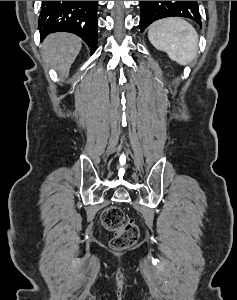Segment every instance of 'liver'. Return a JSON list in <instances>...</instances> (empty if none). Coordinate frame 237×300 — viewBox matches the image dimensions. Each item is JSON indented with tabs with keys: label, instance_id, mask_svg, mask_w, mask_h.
Here are the masks:
<instances>
[{
	"label": "liver",
	"instance_id": "6515ba94",
	"mask_svg": "<svg viewBox=\"0 0 237 300\" xmlns=\"http://www.w3.org/2000/svg\"><path fill=\"white\" fill-rule=\"evenodd\" d=\"M79 37L71 33H53L44 39L41 55L47 67L58 71L61 79H67L72 63L81 51Z\"/></svg>",
	"mask_w": 237,
	"mask_h": 300
}]
</instances>
